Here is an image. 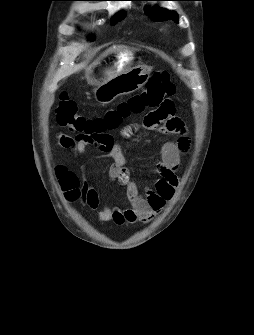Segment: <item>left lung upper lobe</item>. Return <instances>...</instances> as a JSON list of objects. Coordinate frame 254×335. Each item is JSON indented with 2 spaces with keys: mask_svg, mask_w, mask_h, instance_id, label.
<instances>
[{
  "mask_svg": "<svg viewBox=\"0 0 254 335\" xmlns=\"http://www.w3.org/2000/svg\"><path fill=\"white\" fill-rule=\"evenodd\" d=\"M141 1H163V0H141ZM146 14L154 21L173 20L178 22V15L174 11H167L166 9H160L154 7L153 9L146 10Z\"/></svg>",
  "mask_w": 254,
  "mask_h": 335,
  "instance_id": "left-lung-upper-lobe-1",
  "label": "left lung upper lobe"
}]
</instances>
